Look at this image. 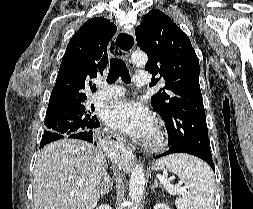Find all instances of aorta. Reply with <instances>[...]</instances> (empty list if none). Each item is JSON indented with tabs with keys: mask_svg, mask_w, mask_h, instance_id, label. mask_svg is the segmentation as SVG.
<instances>
[{
	"mask_svg": "<svg viewBox=\"0 0 253 209\" xmlns=\"http://www.w3.org/2000/svg\"><path fill=\"white\" fill-rule=\"evenodd\" d=\"M148 58L143 52H134L131 56V61L136 66L146 64ZM145 177L144 170L140 164H136L131 172L129 183V196L134 203L141 201L144 193Z\"/></svg>",
	"mask_w": 253,
	"mask_h": 209,
	"instance_id": "1",
	"label": "aorta"
}]
</instances>
